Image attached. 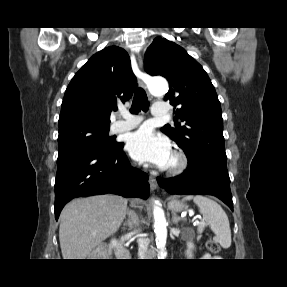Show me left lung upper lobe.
Instances as JSON below:
<instances>
[{
  "instance_id": "left-lung-upper-lobe-1",
  "label": "left lung upper lobe",
  "mask_w": 287,
  "mask_h": 287,
  "mask_svg": "<svg viewBox=\"0 0 287 287\" xmlns=\"http://www.w3.org/2000/svg\"><path fill=\"white\" fill-rule=\"evenodd\" d=\"M145 67L148 74L169 81L164 100L177 107L176 124L165 125L161 131L184 150L188 165L214 163L226 167L221 105L203 67L182 47L161 37L147 49Z\"/></svg>"
}]
</instances>
